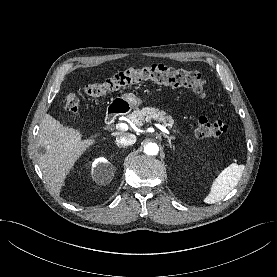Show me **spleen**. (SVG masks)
Here are the masks:
<instances>
[{
  "label": "spleen",
  "mask_w": 277,
  "mask_h": 277,
  "mask_svg": "<svg viewBox=\"0 0 277 277\" xmlns=\"http://www.w3.org/2000/svg\"><path fill=\"white\" fill-rule=\"evenodd\" d=\"M243 171L244 165L236 163L225 168L212 183L210 193L204 202L214 204L221 201L238 184Z\"/></svg>",
  "instance_id": "3e777b00"
}]
</instances>
